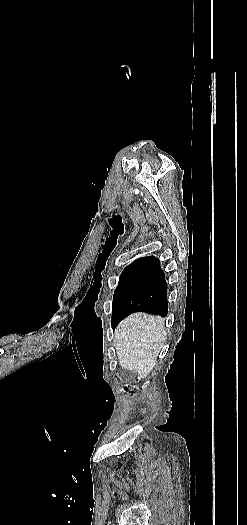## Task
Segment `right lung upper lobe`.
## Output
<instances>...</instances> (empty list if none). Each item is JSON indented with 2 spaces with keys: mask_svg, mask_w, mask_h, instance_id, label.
I'll return each mask as SVG.
<instances>
[{
  "mask_svg": "<svg viewBox=\"0 0 247 525\" xmlns=\"http://www.w3.org/2000/svg\"><path fill=\"white\" fill-rule=\"evenodd\" d=\"M154 258L155 257L150 256V257H144V258L138 259L135 262H133L132 264H130L129 266H127L124 269V271H130V270L144 268V267L148 266L150 264L151 260L154 259Z\"/></svg>",
  "mask_w": 247,
  "mask_h": 525,
  "instance_id": "1",
  "label": "right lung upper lobe"
}]
</instances>
